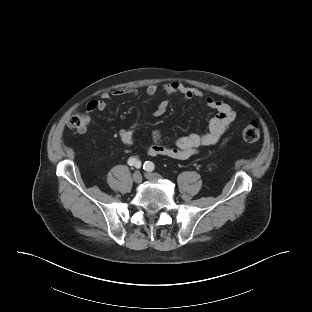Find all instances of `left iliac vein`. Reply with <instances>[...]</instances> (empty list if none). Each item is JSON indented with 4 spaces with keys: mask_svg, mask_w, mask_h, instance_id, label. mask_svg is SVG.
Instances as JSON below:
<instances>
[{
    "mask_svg": "<svg viewBox=\"0 0 312 312\" xmlns=\"http://www.w3.org/2000/svg\"><path fill=\"white\" fill-rule=\"evenodd\" d=\"M145 177L147 179H149V180H158V179L161 178V176L159 174H157V173H149V172L145 174Z\"/></svg>",
    "mask_w": 312,
    "mask_h": 312,
    "instance_id": "1",
    "label": "left iliac vein"
}]
</instances>
